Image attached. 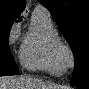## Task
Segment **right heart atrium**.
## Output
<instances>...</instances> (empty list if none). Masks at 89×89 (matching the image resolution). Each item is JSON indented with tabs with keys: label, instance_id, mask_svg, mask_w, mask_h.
I'll list each match as a JSON object with an SVG mask.
<instances>
[{
	"label": "right heart atrium",
	"instance_id": "1",
	"mask_svg": "<svg viewBox=\"0 0 89 89\" xmlns=\"http://www.w3.org/2000/svg\"><path fill=\"white\" fill-rule=\"evenodd\" d=\"M20 27H21L20 21H17L12 25L8 36V44L10 47L13 46V44L17 40L20 33Z\"/></svg>",
	"mask_w": 89,
	"mask_h": 89
}]
</instances>
